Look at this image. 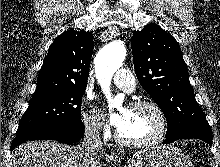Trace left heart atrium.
<instances>
[{"instance_id":"1","label":"left heart atrium","mask_w":220,"mask_h":167,"mask_svg":"<svg viewBox=\"0 0 220 167\" xmlns=\"http://www.w3.org/2000/svg\"><path fill=\"white\" fill-rule=\"evenodd\" d=\"M126 112L121 111L119 113L112 114L110 117V122L119 130L125 122Z\"/></svg>"}]
</instances>
